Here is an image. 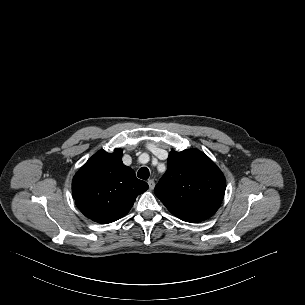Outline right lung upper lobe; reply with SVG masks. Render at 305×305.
<instances>
[{
    "instance_id": "1",
    "label": "right lung upper lobe",
    "mask_w": 305,
    "mask_h": 305,
    "mask_svg": "<svg viewBox=\"0 0 305 305\" xmlns=\"http://www.w3.org/2000/svg\"><path fill=\"white\" fill-rule=\"evenodd\" d=\"M122 150L94 154L75 174L72 193L79 210L98 223H111L126 215L148 184L136 178L121 160Z\"/></svg>"
}]
</instances>
